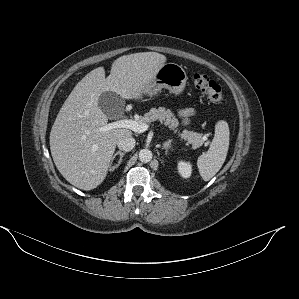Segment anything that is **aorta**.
I'll list each match as a JSON object with an SVG mask.
<instances>
[{
    "label": "aorta",
    "instance_id": "762f6f07",
    "mask_svg": "<svg viewBox=\"0 0 299 299\" xmlns=\"http://www.w3.org/2000/svg\"><path fill=\"white\" fill-rule=\"evenodd\" d=\"M153 154L149 149H142L139 152V160L142 163H148L152 160Z\"/></svg>",
    "mask_w": 299,
    "mask_h": 299
}]
</instances>
